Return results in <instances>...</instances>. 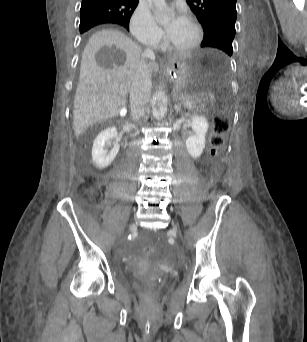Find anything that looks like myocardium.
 Instances as JSON below:
<instances>
[{
	"label": "myocardium",
	"instance_id": "obj_1",
	"mask_svg": "<svg viewBox=\"0 0 307 342\" xmlns=\"http://www.w3.org/2000/svg\"><path fill=\"white\" fill-rule=\"evenodd\" d=\"M185 23L189 24L194 32V39L192 40V42L187 47L183 49H177V50L171 49L168 46V44H166L164 45V49L166 51L172 52L173 54H179V55L188 54V53L193 52L202 44L203 38H204V32H203L201 25L193 18H187L185 20Z\"/></svg>",
	"mask_w": 307,
	"mask_h": 342
}]
</instances>
